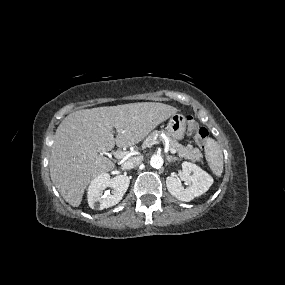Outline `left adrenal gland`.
<instances>
[{
	"label": "left adrenal gland",
	"mask_w": 285,
	"mask_h": 285,
	"mask_svg": "<svg viewBox=\"0 0 285 285\" xmlns=\"http://www.w3.org/2000/svg\"><path fill=\"white\" fill-rule=\"evenodd\" d=\"M167 160L169 161V162H173V161H179V159L177 158V157H174V156H171V155H168L167 156Z\"/></svg>",
	"instance_id": "left-adrenal-gland-1"
}]
</instances>
